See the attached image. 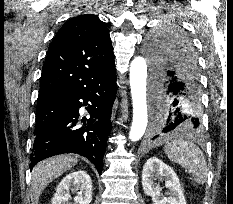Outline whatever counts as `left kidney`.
<instances>
[{
    "label": "left kidney",
    "mask_w": 233,
    "mask_h": 204,
    "mask_svg": "<svg viewBox=\"0 0 233 204\" xmlns=\"http://www.w3.org/2000/svg\"><path fill=\"white\" fill-rule=\"evenodd\" d=\"M156 180L165 181L167 196ZM142 186L146 195L152 197L153 204H186L182 187L175 171L157 157L147 160L142 170Z\"/></svg>",
    "instance_id": "1"
}]
</instances>
